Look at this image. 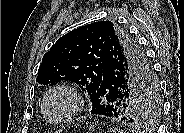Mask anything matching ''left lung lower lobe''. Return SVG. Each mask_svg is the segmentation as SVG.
<instances>
[{
  "mask_svg": "<svg viewBox=\"0 0 184 133\" xmlns=\"http://www.w3.org/2000/svg\"><path fill=\"white\" fill-rule=\"evenodd\" d=\"M117 60V59H116ZM115 58H107L104 64V78L93 96L92 114L104 115L107 117L118 118L121 112L122 103L127 98V78L123 67ZM142 90L146 95H152L151 84L142 81Z\"/></svg>",
  "mask_w": 184,
  "mask_h": 133,
  "instance_id": "left-lung-lower-lobe-1",
  "label": "left lung lower lobe"
}]
</instances>
